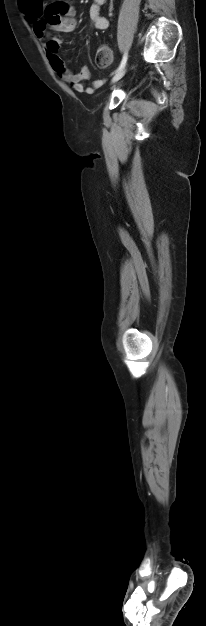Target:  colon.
Segmentation results:
<instances>
[{
	"label": "colon",
	"instance_id": "obj_1",
	"mask_svg": "<svg viewBox=\"0 0 206 626\" xmlns=\"http://www.w3.org/2000/svg\"><path fill=\"white\" fill-rule=\"evenodd\" d=\"M112 61V51L107 45H102L96 54V62L100 67H107Z\"/></svg>",
	"mask_w": 206,
	"mask_h": 626
}]
</instances>
